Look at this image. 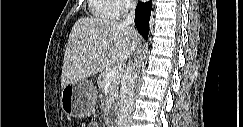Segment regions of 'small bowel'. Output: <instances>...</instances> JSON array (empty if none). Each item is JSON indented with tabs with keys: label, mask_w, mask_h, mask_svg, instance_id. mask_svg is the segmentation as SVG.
Returning a JSON list of instances; mask_svg holds the SVG:
<instances>
[{
	"label": "small bowel",
	"mask_w": 243,
	"mask_h": 127,
	"mask_svg": "<svg viewBox=\"0 0 243 127\" xmlns=\"http://www.w3.org/2000/svg\"><path fill=\"white\" fill-rule=\"evenodd\" d=\"M89 127H97V124L96 123H91V124H89Z\"/></svg>",
	"instance_id": "small-bowel-1"
}]
</instances>
